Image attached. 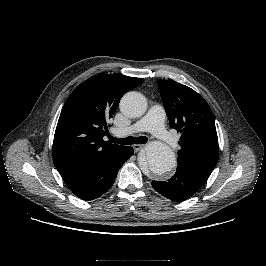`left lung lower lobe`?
I'll return each instance as SVG.
<instances>
[{"label":"left lung lower lobe","instance_id":"obj_1","mask_svg":"<svg viewBox=\"0 0 266 266\" xmlns=\"http://www.w3.org/2000/svg\"><path fill=\"white\" fill-rule=\"evenodd\" d=\"M207 180L177 168L167 181H152L153 188L172 201H184L194 195Z\"/></svg>","mask_w":266,"mask_h":266}]
</instances>
